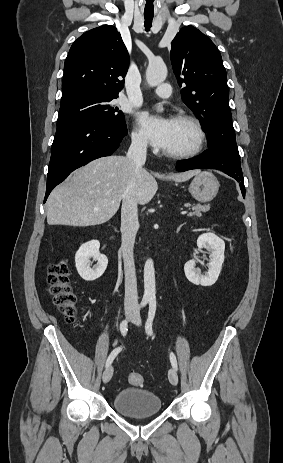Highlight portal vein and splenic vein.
<instances>
[{
    "label": "portal vein and splenic vein",
    "mask_w": 283,
    "mask_h": 463,
    "mask_svg": "<svg viewBox=\"0 0 283 463\" xmlns=\"http://www.w3.org/2000/svg\"><path fill=\"white\" fill-rule=\"evenodd\" d=\"M186 213H187L186 211L181 212L182 215H184V214H186Z\"/></svg>",
    "instance_id": "18ae733b"
}]
</instances>
